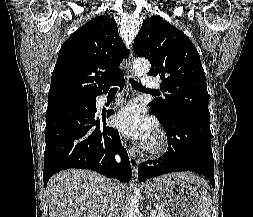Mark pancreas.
<instances>
[{"mask_svg": "<svg viewBox=\"0 0 253 217\" xmlns=\"http://www.w3.org/2000/svg\"><path fill=\"white\" fill-rule=\"evenodd\" d=\"M159 212H161V215L157 214L156 217H168L162 208L159 209Z\"/></svg>", "mask_w": 253, "mask_h": 217, "instance_id": "obj_1", "label": "pancreas"}]
</instances>
